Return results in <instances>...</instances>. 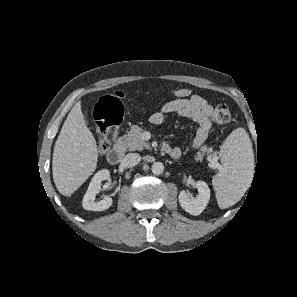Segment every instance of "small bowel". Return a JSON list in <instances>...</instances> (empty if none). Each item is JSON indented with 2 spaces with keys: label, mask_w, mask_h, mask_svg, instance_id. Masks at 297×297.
Instances as JSON below:
<instances>
[{
  "label": "small bowel",
  "mask_w": 297,
  "mask_h": 297,
  "mask_svg": "<svg viewBox=\"0 0 297 297\" xmlns=\"http://www.w3.org/2000/svg\"><path fill=\"white\" fill-rule=\"evenodd\" d=\"M213 111V106L207 99L200 95L193 94L188 98H176L165 103L161 110L152 114L150 122L154 125H160L164 121L166 114H175L179 117L190 118L198 124L195 137L192 142L194 151L200 149L206 141L211 129L210 116ZM168 146V145H167ZM169 155L177 159L182 155V150L179 147H170Z\"/></svg>",
  "instance_id": "small-bowel-1"
}]
</instances>
